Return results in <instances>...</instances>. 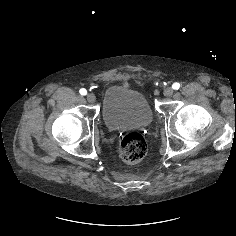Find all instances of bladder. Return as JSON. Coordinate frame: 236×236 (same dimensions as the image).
I'll list each match as a JSON object with an SVG mask.
<instances>
[{
	"label": "bladder",
	"mask_w": 236,
	"mask_h": 236,
	"mask_svg": "<svg viewBox=\"0 0 236 236\" xmlns=\"http://www.w3.org/2000/svg\"><path fill=\"white\" fill-rule=\"evenodd\" d=\"M102 115L112 130L144 127L153 120V109L147 96L140 90L114 85L103 94Z\"/></svg>",
	"instance_id": "obj_1"
}]
</instances>
